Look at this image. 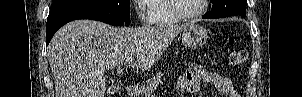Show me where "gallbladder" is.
<instances>
[{"mask_svg":"<svg viewBox=\"0 0 302 97\" xmlns=\"http://www.w3.org/2000/svg\"><path fill=\"white\" fill-rule=\"evenodd\" d=\"M118 89L116 88V87H109V89H108V93H115L116 91H117Z\"/></svg>","mask_w":302,"mask_h":97,"instance_id":"gallbladder-1","label":"gallbladder"}]
</instances>
